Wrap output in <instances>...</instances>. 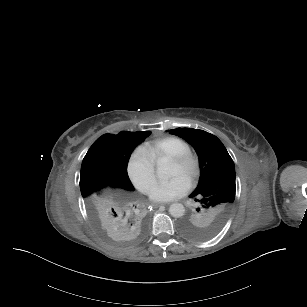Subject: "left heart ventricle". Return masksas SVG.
I'll use <instances>...</instances> for the list:
<instances>
[{"label": "left heart ventricle", "instance_id": "b2bd125f", "mask_svg": "<svg viewBox=\"0 0 307 307\" xmlns=\"http://www.w3.org/2000/svg\"><path fill=\"white\" fill-rule=\"evenodd\" d=\"M195 168V160L190 159L184 166L171 162L170 173L172 176L180 175L184 178Z\"/></svg>", "mask_w": 307, "mask_h": 307}]
</instances>
